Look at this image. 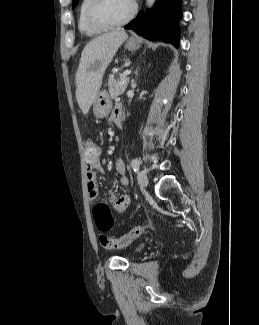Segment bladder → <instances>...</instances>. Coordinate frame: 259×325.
Here are the masks:
<instances>
[{
  "instance_id": "1",
  "label": "bladder",
  "mask_w": 259,
  "mask_h": 325,
  "mask_svg": "<svg viewBox=\"0 0 259 325\" xmlns=\"http://www.w3.org/2000/svg\"><path fill=\"white\" fill-rule=\"evenodd\" d=\"M140 249H141V246L137 247V248H136V251H139Z\"/></svg>"
}]
</instances>
